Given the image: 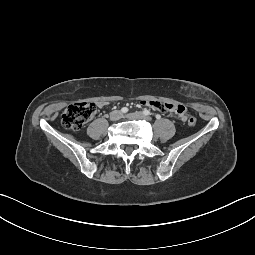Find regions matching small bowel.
<instances>
[{"mask_svg":"<svg viewBox=\"0 0 255 255\" xmlns=\"http://www.w3.org/2000/svg\"><path fill=\"white\" fill-rule=\"evenodd\" d=\"M143 105L154 108L163 113H172L173 118L180 125H183L191 117V110L188 107L182 105L163 103L155 100H144L141 102ZM105 102L98 103L99 107H104Z\"/></svg>","mask_w":255,"mask_h":255,"instance_id":"obj_1","label":"small bowel"}]
</instances>
